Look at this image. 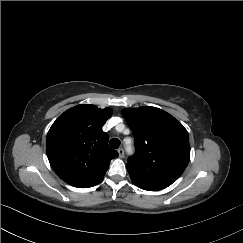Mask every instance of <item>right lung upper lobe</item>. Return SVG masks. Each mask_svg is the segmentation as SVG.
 <instances>
[{
  "label": "right lung upper lobe",
  "instance_id": "cb5924a9",
  "mask_svg": "<svg viewBox=\"0 0 243 243\" xmlns=\"http://www.w3.org/2000/svg\"><path fill=\"white\" fill-rule=\"evenodd\" d=\"M112 109L80 104L65 111L51 126L46 139L47 157L66 183L87 188L100 182L118 153L108 145L102 126Z\"/></svg>",
  "mask_w": 243,
  "mask_h": 243
}]
</instances>
